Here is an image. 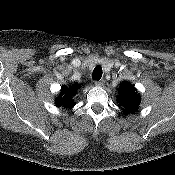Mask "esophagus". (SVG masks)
Listing matches in <instances>:
<instances>
[{"label": "esophagus", "mask_w": 175, "mask_h": 175, "mask_svg": "<svg viewBox=\"0 0 175 175\" xmlns=\"http://www.w3.org/2000/svg\"><path fill=\"white\" fill-rule=\"evenodd\" d=\"M104 83H105V81H104V80L95 81V85H96V86H98V87L103 86V85H104Z\"/></svg>", "instance_id": "34e87169"}]
</instances>
